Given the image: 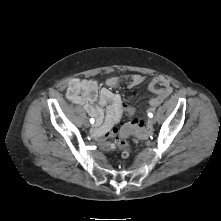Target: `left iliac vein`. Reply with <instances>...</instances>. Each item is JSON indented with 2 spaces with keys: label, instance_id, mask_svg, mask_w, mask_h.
Listing matches in <instances>:
<instances>
[{
  "label": "left iliac vein",
  "instance_id": "4c4485c4",
  "mask_svg": "<svg viewBox=\"0 0 221 221\" xmlns=\"http://www.w3.org/2000/svg\"><path fill=\"white\" fill-rule=\"evenodd\" d=\"M155 122H156V118L155 117L149 119V124L150 125H153Z\"/></svg>",
  "mask_w": 221,
  "mask_h": 221
}]
</instances>
